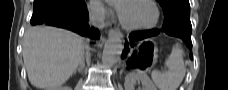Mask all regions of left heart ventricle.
Returning <instances> with one entry per match:
<instances>
[{
    "label": "left heart ventricle",
    "mask_w": 228,
    "mask_h": 90,
    "mask_svg": "<svg viewBox=\"0 0 228 90\" xmlns=\"http://www.w3.org/2000/svg\"><path fill=\"white\" fill-rule=\"evenodd\" d=\"M121 13L124 20L130 25H147L155 17L153 7L144 0L124 4Z\"/></svg>",
    "instance_id": "left-heart-ventricle-1"
}]
</instances>
